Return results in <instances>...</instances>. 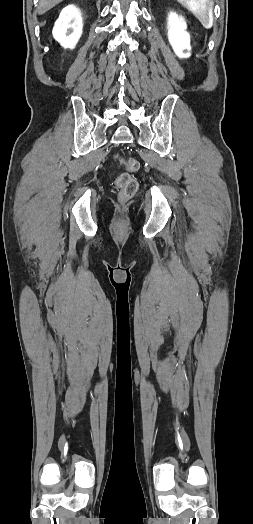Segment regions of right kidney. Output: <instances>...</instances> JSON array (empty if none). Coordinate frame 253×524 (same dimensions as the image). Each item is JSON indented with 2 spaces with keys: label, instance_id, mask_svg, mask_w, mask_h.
Returning a JSON list of instances; mask_svg holds the SVG:
<instances>
[{
  "label": "right kidney",
  "instance_id": "ca27d5eb",
  "mask_svg": "<svg viewBox=\"0 0 253 524\" xmlns=\"http://www.w3.org/2000/svg\"><path fill=\"white\" fill-rule=\"evenodd\" d=\"M81 13L74 5L65 7L53 27L54 38L65 48L73 49L82 34Z\"/></svg>",
  "mask_w": 253,
  "mask_h": 524
}]
</instances>
